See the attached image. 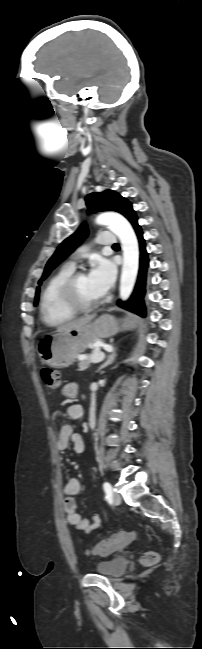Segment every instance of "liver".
<instances>
[{
    "instance_id": "6515ba94",
    "label": "liver",
    "mask_w": 202,
    "mask_h": 649,
    "mask_svg": "<svg viewBox=\"0 0 202 649\" xmlns=\"http://www.w3.org/2000/svg\"><path fill=\"white\" fill-rule=\"evenodd\" d=\"M93 319H94V316L91 315V316L83 317V318H80V319H77V320L66 322V323L60 325L56 329V332H64V331H70V330H73V329L82 328V327L90 324V322Z\"/></svg>"
}]
</instances>
